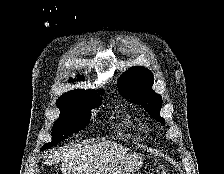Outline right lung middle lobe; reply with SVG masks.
I'll return each mask as SVG.
<instances>
[{
	"instance_id": "right-lung-middle-lobe-1",
	"label": "right lung middle lobe",
	"mask_w": 224,
	"mask_h": 174,
	"mask_svg": "<svg viewBox=\"0 0 224 174\" xmlns=\"http://www.w3.org/2000/svg\"><path fill=\"white\" fill-rule=\"evenodd\" d=\"M100 102L101 100H96L57 105L60 110V116L52 128V141L45 144L42 150L51 148V146L84 129L89 124L92 106L98 107Z\"/></svg>"
}]
</instances>
